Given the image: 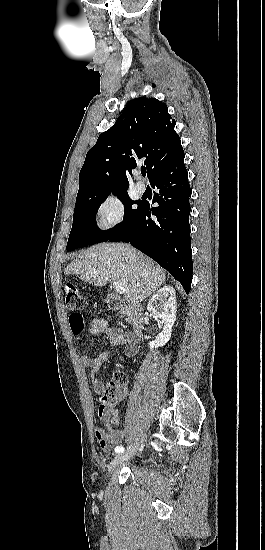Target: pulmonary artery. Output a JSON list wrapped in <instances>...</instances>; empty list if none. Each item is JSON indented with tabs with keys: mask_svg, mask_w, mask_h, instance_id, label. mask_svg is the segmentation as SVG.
Wrapping results in <instances>:
<instances>
[{
	"mask_svg": "<svg viewBox=\"0 0 265 550\" xmlns=\"http://www.w3.org/2000/svg\"><path fill=\"white\" fill-rule=\"evenodd\" d=\"M146 190V185L143 183V182H138L136 184V191L139 193V194H143Z\"/></svg>",
	"mask_w": 265,
	"mask_h": 550,
	"instance_id": "obj_1",
	"label": "pulmonary artery"
}]
</instances>
